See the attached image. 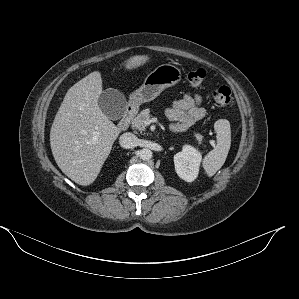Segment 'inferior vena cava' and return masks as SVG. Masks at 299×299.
Wrapping results in <instances>:
<instances>
[{
  "instance_id": "inferior-vena-cava-1",
  "label": "inferior vena cava",
  "mask_w": 299,
  "mask_h": 299,
  "mask_svg": "<svg viewBox=\"0 0 299 299\" xmlns=\"http://www.w3.org/2000/svg\"><path fill=\"white\" fill-rule=\"evenodd\" d=\"M137 137L130 132L123 133L119 138V144L125 149L133 148L137 145Z\"/></svg>"
}]
</instances>
